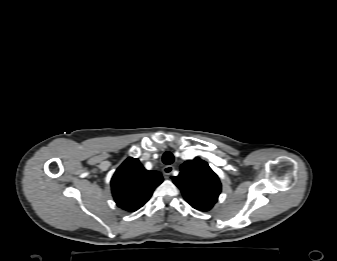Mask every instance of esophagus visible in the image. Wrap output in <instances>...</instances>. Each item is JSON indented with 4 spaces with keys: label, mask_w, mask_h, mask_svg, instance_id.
Wrapping results in <instances>:
<instances>
[{
    "label": "esophagus",
    "mask_w": 337,
    "mask_h": 261,
    "mask_svg": "<svg viewBox=\"0 0 337 261\" xmlns=\"http://www.w3.org/2000/svg\"><path fill=\"white\" fill-rule=\"evenodd\" d=\"M174 171V167L172 165H167L163 168V174L168 177Z\"/></svg>",
    "instance_id": "esophagus-1"
}]
</instances>
